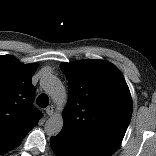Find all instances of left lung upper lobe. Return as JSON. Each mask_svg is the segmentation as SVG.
Wrapping results in <instances>:
<instances>
[{
  "instance_id": "left-lung-upper-lobe-1",
  "label": "left lung upper lobe",
  "mask_w": 156,
  "mask_h": 156,
  "mask_svg": "<svg viewBox=\"0 0 156 156\" xmlns=\"http://www.w3.org/2000/svg\"><path fill=\"white\" fill-rule=\"evenodd\" d=\"M69 82L61 132L114 153L132 115V98L119 69L103 60L60 65Z\"/></svg>"
}]
</instances>
